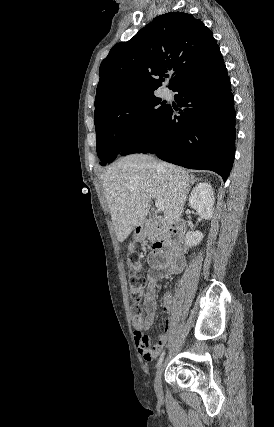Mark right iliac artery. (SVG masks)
I'll use <instances>...</instances> for the list:
<instances>
[{"label":"right iliac artery","mask_w":274,"mask_h":427,"mask_svg":"<svg viewBox=\"0 0 274 427\" xmlns=\"http://www.w3.org/2000/svg\"><path fill=\"white\" fill-rule=\"evenodd\" d=\"M164 355H165V352H163V353L161 354V356H160V358H159V360H158V363H157L156 367H160V365L162 364V361H163V359H164Z\"/></svg>","instance_id":"1"}]
</instances>
